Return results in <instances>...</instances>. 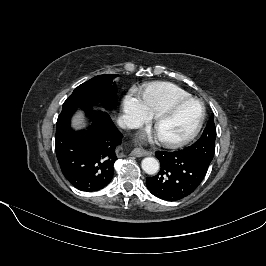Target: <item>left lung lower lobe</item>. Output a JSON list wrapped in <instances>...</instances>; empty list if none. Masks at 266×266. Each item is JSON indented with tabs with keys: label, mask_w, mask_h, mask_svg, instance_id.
<instances>
[{
	"label": "left lung lower lobe",
	"mask_w": 266,
	"mask_h": 266,
	"mask_svg": "<svg viewBox=\"0 0 266 266\" xmlns=\"http://www.w3.org/2000/svg\"><path fill=\"white\" fill-rule=\"evenodd\" d=\"M161 169L156 176L146 179L148 190L156 197L176 201L190 195L202 182L208 167L183 150L157 151Z\"/></svg>",
	"instance_id": "obj_1"
}]
</instances>
